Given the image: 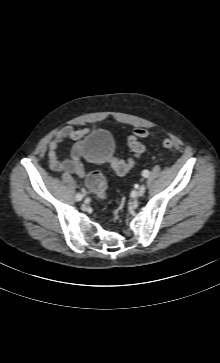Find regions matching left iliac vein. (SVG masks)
Returning a JSON list of instances; mask_svg holds the SVG:
<instances>
[{
    "label": "left iliac vein",
    "mask_w": 220,
    "mask_h": 363,
    "mask_svg": "<svg viewBox=\"0 0 220 363\" xmlns=\"http://www.w3.org/2000/svg\"><path fill=\"white\" fill-rule=\"evenodd\" d=\"M145 191H146V187H145V185H141V186L139 187L138 191H137V196H138V197L143 196V195H144V193H145Z\"/></svg>",
    "instance_id": "1"
}]
</instances>
